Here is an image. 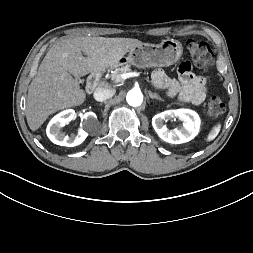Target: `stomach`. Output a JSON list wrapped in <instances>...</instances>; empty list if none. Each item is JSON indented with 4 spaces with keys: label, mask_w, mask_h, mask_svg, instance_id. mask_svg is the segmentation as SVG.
Returning <instances> with one entry per match:
<instances>
[{
    "label": "stomach",
    "mask_w": 253,
    "mask_h": 253,
    "mask_svg": "<svg viewBox=\"0 0 253 253\" xmlns=\"http://www.w3.org/2000/svg\"><path fill=\"white\" fill-rule=\"evenodd\" d=\"M183 53L182 44L174 39L163 40L159 44L143 43L129 51L118 64L129 63L137 68L165 67L176 63Z\"/></svg>",
    "instance_id": "obj_1"
}]
</instances>
